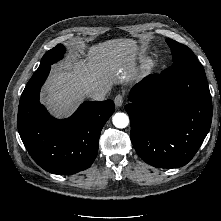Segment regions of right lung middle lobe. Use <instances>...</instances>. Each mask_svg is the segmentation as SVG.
Segmentation results:
<instances>
[{
    "label": "right lung middle lobe",
    "instance_id": "1",
    "mask_svg": "<svg viewBox=\"0 0 221 221\" xmlns=\"http://www.w3.org/2000/svg\"><path fill=\"white\" fill-rule=\"evenodd\" d=\"M65 51V47L62 44H58L53 49L49 50L42 57L40 66L37 70H43L50 66L51 64L57 62L59 59L63 57Z\"/></svg>",
    "mask_w": 221,
    "mask_h": 221
}]
</instances>
